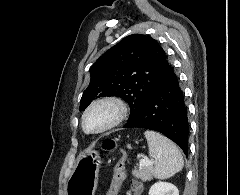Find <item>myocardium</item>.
<instances>
[{
    "mask_svg": "<svg viewBox=\"0 0 240 195\" xmlns=\"http://www.w3.org/2000/svg\"><path fill=\"white\" fill-rule=\"evenodd\" d=\"M100 109L110 111L108 120L99 128L90 130L86 126L87 117L90 113ZM128 108L126 103L117 96L109 95L93 101L84 111L82 116V128L87 134H100L117 127L126 117Z\"/></svg>",
    "mask_w": 240,
    "mask_h": 195,
    "instance_id": "myocardium-1",
    "label": "myocardium"
}]
</instances>
